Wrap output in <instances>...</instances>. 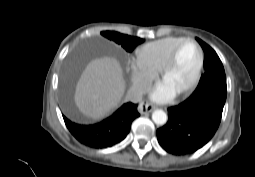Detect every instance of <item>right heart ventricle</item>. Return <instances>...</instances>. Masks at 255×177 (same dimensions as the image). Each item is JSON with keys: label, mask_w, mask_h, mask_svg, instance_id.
Segmentation results:
<instances>
[{"label": "right heart ventricle", "mask_w": 255, "mask_h": 177, "mask_svg": "<svg viewBox=\"0 0 255 177\" xmlns=\"http://www.w3.org/2000/svg\"><path fill=\"white\" fill-rule=\"evenodd\" d=\"M184 39L183 37H167L147 43L138 51V56L149 66L161 70L173 49Z\"/></svg>", "instance_id": "1"}]
</instances>
